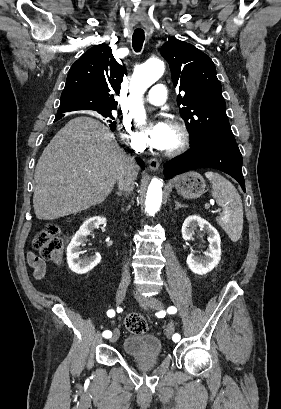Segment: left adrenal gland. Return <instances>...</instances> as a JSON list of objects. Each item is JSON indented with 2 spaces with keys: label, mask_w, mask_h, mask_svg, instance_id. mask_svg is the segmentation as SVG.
Instances as JSON below:
<instances>
[{
  "label": "left adrenal gland",
  "mask_w": 281,
  "mask_h": 409,
  "mask_svg": "<svg viewBox=\"0 0 281 409\" xmlns=\"http://www.w3.org/2000/svg\"><path fill=\"white\" fill-rule=\"evenodd\" d=\"M175 202V209H181V207H187V205H181V202H178V200H174Z\"/></svg>",
  "instance_id": "obj_1"
}]
</instances>
